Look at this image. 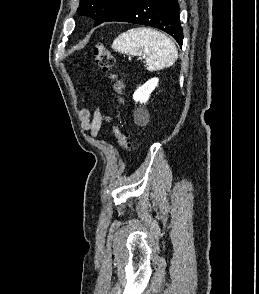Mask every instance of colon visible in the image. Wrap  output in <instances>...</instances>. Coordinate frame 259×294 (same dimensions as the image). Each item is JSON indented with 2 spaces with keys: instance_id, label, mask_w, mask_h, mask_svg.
Segmentation results:
<instances>
[{
  "instance_id": "obj_1",
  "label": "colon",
  "mask_w": 259,
  "mask_h": 294,
  "mask_svg": "<svg viewBox=\"0 0 259 294\" xmlns=\"http://www.w3.org/2000/svg\"><path fill=\"white\" fill-rule=\"evenodd\" d=\"M93 54L98 67L112 80L116 101L118 104H121L123 102L124 85L120 77L113 72L114 59L109 48L104 43L98 42L93 47ZM113 133L117 138L120 148L125 152H130L132 150V144L128 134L122 127L118 124L114 125Z\"/></svg>"
}]
</instances>
